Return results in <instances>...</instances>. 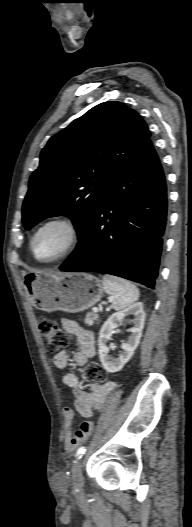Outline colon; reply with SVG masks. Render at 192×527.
Masks as SVG:
<instances>
[{"instance_id":"obj_1","label":"colon","mask_w":192,"mask_h":527,"mask_svg":"<svg viewBox=\"0 0 192 527\" xmlns=\"http://www.w3.org/2000/svg\"><path fill=\"white\" fill-rule=\"evenodd\" d=\"M39 328L47 347L51 352L62 350L67 347L72 340L71 335L62 330L55 321L41 318ZM86 376L88 380L95 385H101L106 382L105 370L96 361L88 363L86 367Z\"/></svg>"}]
</instances>
